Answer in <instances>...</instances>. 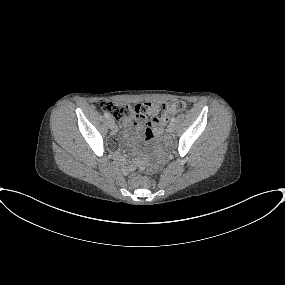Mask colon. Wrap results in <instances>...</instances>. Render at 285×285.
Here are the masks:
<instances>
[{"label": "colon", "mask_w": 285, "mask_h": 285, "mask_svg": "<svg viewBox=\"0 0 285 285\" xmlns=\"http://www.w3.org/2000/svg\"><path fill=\"white\" fill-rule=\"evenodd\" d=\"M101 107L112 116L121 127L128 128L134 117L153 122H161L167 120L172 114L183 111L186 104L181 100H177L161 103H140L135 107H131L126 103L104 101L101 103Z\"/></svg>", "instance_id": "1"}]
</instances>
